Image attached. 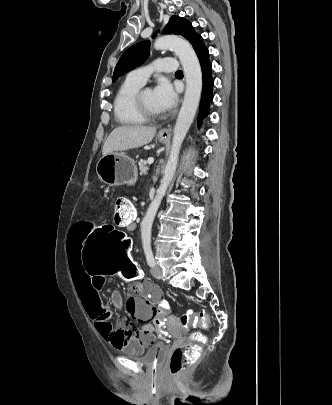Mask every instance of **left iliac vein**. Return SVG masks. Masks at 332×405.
<instances>
[{"label": "left iliac vein", "instance_id": "4c4485c4", "mask_svg": "<svg viewBox=\"0 0 332 405\" xmlns=\"http://www.w3.org/2000/svg\"><path fill=\"white\" fill-rule=\"evenodd\" d=\"M151 273L156 279H162L163 277L162 269L159 266L152 267Z\"/></svg>", "mask_w": 332, "mask_h": 405}]
</instances>
